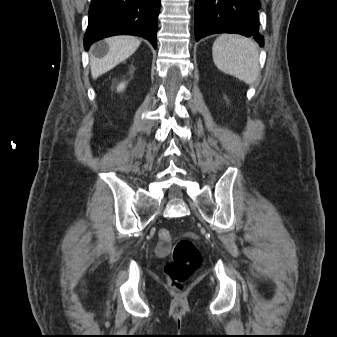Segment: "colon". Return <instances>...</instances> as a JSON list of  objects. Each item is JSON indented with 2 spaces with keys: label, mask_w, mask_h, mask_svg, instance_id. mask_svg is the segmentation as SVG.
I'll list each match as a JSON object with an SVG mask.
<instances>
[{
  "label": "colon",
  "mask_w": 337,
  "mask_h": 337,
  "mask_svg": "<svg viewBox=\"0 0 337 337\" xmlns=\"http://www.w3.org/2000/svg\"><path fill=\"white\" fill-rule=\"evenodd\" d=\"M172 236L169 230L158 231L157 251L166 253ZM172 260L165 266L171 284L181 288L202 263V256L194 242L188 238L179 240L171 250Z\"/></svg>",
  "instance_id": "colon-1"
}]
</instances>
